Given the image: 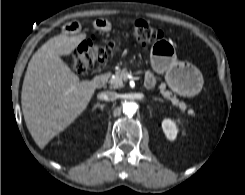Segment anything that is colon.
Masks as SVG:
<instances>
[{"label": "colon", "instance_id": "5ec220e1", "mask_svg": "<svg viewBox=\"0 0 245 195\" xmlns=\"http://www.w3.org/2000/svg\"><path fill=\"white\" fill-rule=\"evenodd\" d=\"M132 34L141 45H148L161 38L162 33L144 20L134 23ZM127 36V35H126ZM115 47V42L101 44L96 40L84 42L78 46L71 56V67L74 72L84 74L105 63Z\"/></svg>", "mask_w": 245, "mask_h": 195}]
</instances>
